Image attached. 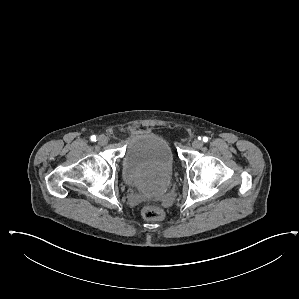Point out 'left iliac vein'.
<instances>
[{
  "instance_id": "left-iliac-vein-1",
  "label": "left iliac vein",
  "mask_w": 299,
  "mask_h": 299,
  "mask_svg": "<svg viewBox=\"0 0 299 299\" xmlns=\"http://www.w3.org/2000/svg\"><path fill=\"white\" fill-rule=\"evenodd\" d=\"M202 146H203V142L199 139H195L192 142V147L195 148V149H200V148H202Z\"/></svg>"
}]
</instances>
